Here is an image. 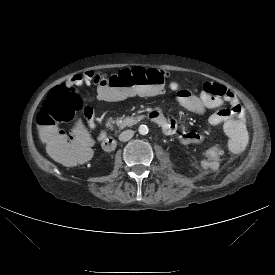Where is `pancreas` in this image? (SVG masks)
Listing matches in <instances>:
<instances>
[{"label": "pancreas", "instance_id": "pancreas-1", "mask_svg": "<svg viewBox=\"0 0 275 275\" xmlns=\"http://www.w3.org/2000/svg\"><path fill=\"white\" fill-rule=\"evenodd\" d=\"M140 119V116H127V117H118L116 119V125L119 127V129H123L125 127H130L132 125H135Z\"/></svg>", "mask_w": 275, "mask_h": 275}]
</instances>
